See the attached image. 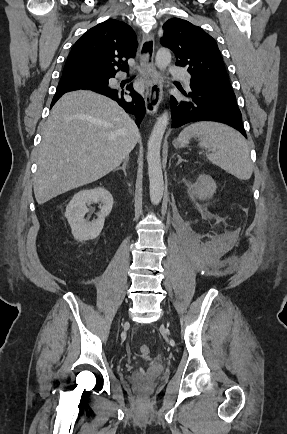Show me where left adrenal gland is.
<instances>
[{
  "label": "left adrenal gland",
  "instance_id": "1",
  "mask_svg": "<svg viewBox=\"0 0 287 434\" xmlns=\"http://www.w3.org/2000/svg\"><path fill=\"white\" fill-rule=\"evenodd\" d=\"M177 157H178L177 165H179L182 161H186V160L182 159V157L180 155H177Z\"/></svg>",
  "mask_w": 287,
  "mask_h": 434
}]
</instances>
